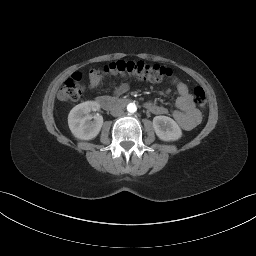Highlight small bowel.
I'll return each instance as SVG.
<instances>
[{"mask_svg":"<svg viewBox=\"0 0 256 256\" xmlns=\"http://www.w3.org/2000/svg\"><path fill=\"white\" fill-rule=\"evenodd\" d=\"M171 84L175 87L178 97L176 100L177 110L173 112L174 120L184 130H191L195 128L201 121V113L195 107L192 95L189 92L188 86L179 80L173 78ZM129 84L127 82L121 83L115 90V95H122L129 90ZM147 109L154 114H166L167 109L158 104L148 102L146 104Z\"/></svg>","mask_w":256,"mask_h":256,"instance_id":"1","label":"small bowel"}]
</instances>
